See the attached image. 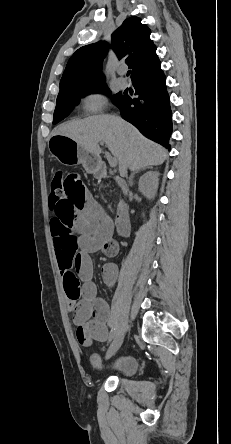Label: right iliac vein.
<instances>
[{"label": "right iliac vein", "instance_id": "1", "mask_svg": "<svg viewBox=\"0 0 231 444\" xmlns=\"http://www.w3.org/2000/svg\"><path fill=\"white\" fill-rule=\"evenodd\" d=\"M124 337H125V329L121 328L120 331L118 332L115 340L113 341V343L111 344V346L109 347L107 353H106V358H110L112 357L120 348V346L122 345L123 341H124Z\"/></svg>", "mask_w": 231, "mask_h": 444}]
</instances>
